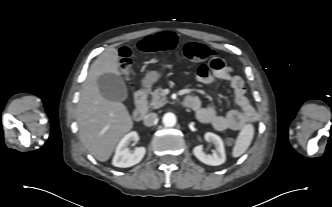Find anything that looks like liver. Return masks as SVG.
<instances>
[{"label": "liver", "instance_id": "1", "mask_svg": "<svg viewBox=\"0 0 332 207\" xmlns=\"http://www.w3.org/2000/svg\"><path fill=\"white\" fill-rule=\"evenodd\" d=\"M108 73L121 75L116 48L105 50L92 63L77 107L80 140L101 162L110 158L117 143L133 127L127 108L121 102L105 99L99 91L97 79Z\"/></svg>", "mask_w": 332, "mask_h": 207}]
</instances>
